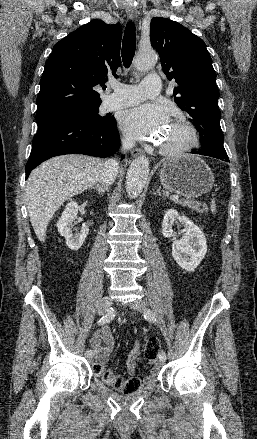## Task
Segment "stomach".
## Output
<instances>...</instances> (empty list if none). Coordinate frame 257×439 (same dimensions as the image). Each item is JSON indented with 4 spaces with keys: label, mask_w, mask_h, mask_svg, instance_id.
Here are the masks:
<instances>
[{
    "label": "stomach",
    "mask_w": 257,
    "mask_h": 439,
    "mask_svg": "<svg viewBox=\"0 0 257 439\" xmlns=\"http://www.w3.org/2000/svg\"><path fill=\"white\" fill-rule=\"evenodd\" d=\"M159 177L164 188L187 198L208 193L214 184L210 167L196 155H184L164 161Z\"/></svg>",
    "instance_id": "1"
}]
</instances>
